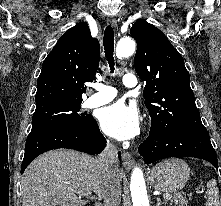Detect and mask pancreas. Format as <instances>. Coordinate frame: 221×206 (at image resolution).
<instances>
[{"mask_svg":"<svg viewBox=\"0 0 221 206\" xmlns=\"http://www.w3.org/2000/svg\"><path fill=\"white\" fill-rule=\"evenodd\" d=\"M168 200H171V202L174 203L176 206H184L188 203L187 198L185 196H182L181 194L171 196Z\"/></svg>","mask_w":221,"mask_h":206,"instance_id":"1","label":"pancreas"}]
</instances>
